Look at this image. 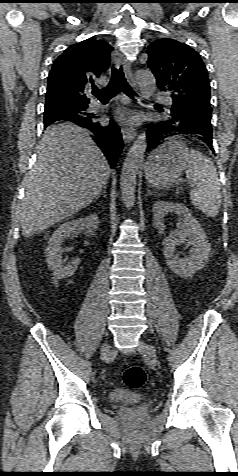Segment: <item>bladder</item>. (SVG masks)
<instances>
[{
    "label": "bladder",
    "instance_id": "obj_1",
    "mask_svg": "<svg viewBox=\"0 0 238 476\" xmlns=\"http://www.w3.org/2000/svg\"><path fill=\"white\" fill-rule=\"evenodd\" d=\"M145 399L142 393L134 392L125 388H115L108 394V401L112 404H132Z\"/></svg>",
    "mask_w": 238,
    "mask_h": 476
}]
</instances>
